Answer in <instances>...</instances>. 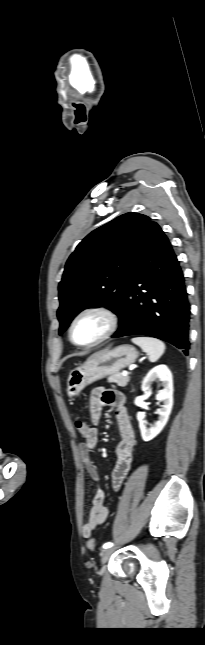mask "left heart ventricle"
<instances>
[{
	"instance_id": "1",
	"label": "left heart ventricle",
	"mask_w": 205,
	"mask_h": 645,
	"mask_svg": "<svg viewBox=\"0 0 205 645\" xmlns=\"http://www.w3.org/2000/svg\"><path fill=\"white\" fill-rule=\"evenodd\" d=\"M106 324L99 315H86L75 325L73 336L79 343H89L97 339L105 330Z\"/></svg>"
}]
</instances>
